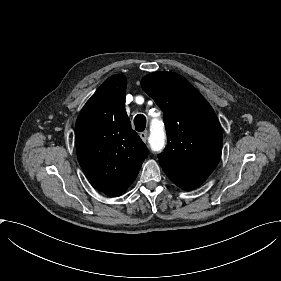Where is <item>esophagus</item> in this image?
<instances>
[{
	"label": "esophagus",
	"mask_w": 281,
	"mask_h": 281,
	"mask_svg": "<svg viewBox=\"0 0 281 281\" xmlns=\"http://www.w3.org/2000/svg\"><path fill=\"white\" fill-rule=\"evenodd\" d=\"M140 137H141V139H142L144 142H146L147 139H148V134H147V132H146V131L141 132V133H140Z\"/></svg>",
	"instance_id": "1"
}]
</instances>
